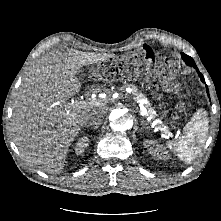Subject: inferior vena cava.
I'll return each mask as SVG.
<instances>
[{"mask_svg":"<svg viewBox=\"0 0 221 221\" xmlns=\"http://www.w3.org/2000/svg\"><path fill=\"white\" fill-rule=\"evenodd\" d=\"M103 115L99 112H95L93 113L89 120H88V125H93V126H98L99 124H101Z\"/></svg>","mask_w":221,"mask_h":221,"instance_id":"obj_1","label":"inferior vena cava"}]
</instances>
